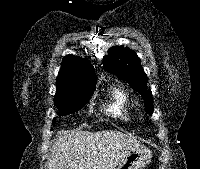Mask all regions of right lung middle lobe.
Returning <instances> with one entry per match:
<instances>
[{"instance_id":"obj_1","label":"right lung middle lobe","mask_w":200,"mask_h":169,"mask_svg":"<svg viewBox=\"0 0 200 169\" xmlns=\"http://www.w3.org/2000/svg\"><path fill=\"white\" fill-rule=\"evenodd\" d=\"M92 94L93 92H88L72 98L54 100V103L61 115H67L82 108L89 101ZM53 123H55V120H53Z\"/></svg>"}]
</instances>
